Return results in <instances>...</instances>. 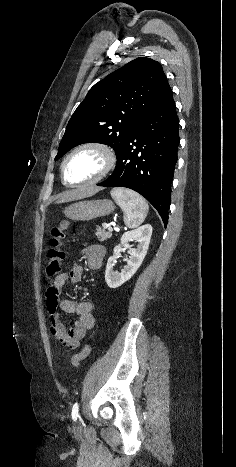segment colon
Listing matches in <instances>:
<instances>
[{
    "instance_id": "obj_1",
    "label": "colon",
    "mask_w": 236,
    "mask_h": 467,
    "mask_svg": "<svg viewBox=\"0 0 236 467\" xmlns=\"http://www.w3.org/2000/svg\"><path fill=\"white\" fill-rule=\"evenodd\" d=\"M69 220H63L59 225L52 229V238L50 241V248L48 250V259L46 262V275L49 278L58 276L61 271L62 262L65 259V252L62 248V239L64 238L65 231L70 226ZM90 354V347L85 345L83 349L72 357V365L79 367L80 363Z\"/></svg>"
}]
</instances>
